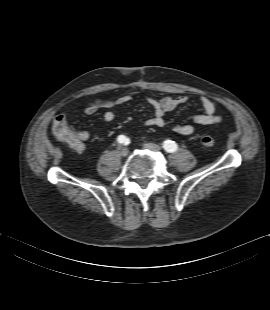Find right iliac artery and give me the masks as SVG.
Segmentation results:
<instances>
[{
  "mask_svg": "<svg viewBox=\"0 0 270 310\" xmlns=\"http://www.w3.org/2000/svg\"><path fill=\"white\" fill-rule=\"evenodd\" d=\"M117 141L119 143H123V144H128L129 143V139L124 136V135H119L118 138H117Z\"/></svg>",
  "mask_w": 270,
  "mask_h": 310,
  "instance_id": "right-iliac-artery-1",
  "label": "right iliac artery"
}]
</instances>
